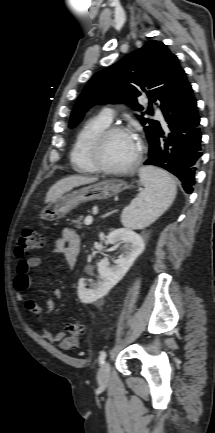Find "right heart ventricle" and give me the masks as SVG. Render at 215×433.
Masks as SVG:
<instances>
[{"label":"right heart ventricle","instance_id":"1","mask_svg":"<svg viewBox=\"0 0 215 433\" xmlns=\"http://www.w3.org/2000/svg\"><path fill=\"white\" fill-rule=\"evenodd\" d=\"M108 126H110V121L98 115L86 121L79 130L70 153L71 164L75 171L96 172L89 159V146L94 137Z\"/></svg>","mask_w":215,"mask_h":433}]
</instances>
